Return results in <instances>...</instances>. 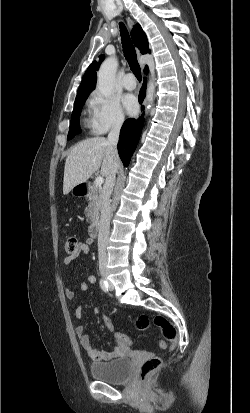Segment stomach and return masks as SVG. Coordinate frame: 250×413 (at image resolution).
Returning a JSON list of instances; mask_svg holds the SVG:
<instances>
[{
    "mask_svg": "<svg viewBox=\"0 0 250 413\" xmlns=\"http://www.w3.org/2000/svg\"><path fill=\"white\" fill-rule=\"evenodd\" d=\"M77 186H78V185H77ZM72 194L75 195V196L81 195V194L79 193V191L76 189V186H75L74 188H72Z\"/></svg>",
    "mask_w": 250,
    "mask_h": 413,
    "instance_id": "0dacf381",
    "label": "stomach"
}]
</instances>
